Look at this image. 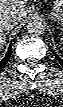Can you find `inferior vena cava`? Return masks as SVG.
<instances>
[{"instance_id": "inferior-vena-cava-1", "label": "inferior vena cava", "mask_w": 63, "mask_h": 107, "mask_svg": "<svg viewBox=\"0 0 63 107\" xmlns=\"http://www.w3.org/2000/svg\"><path fill=\"white\" fill-rule=\"evenodd\" d=\"M17 23V17L13 14L0 16V29L8 31L12 29Z\"/></svg>"}]
</instances>
